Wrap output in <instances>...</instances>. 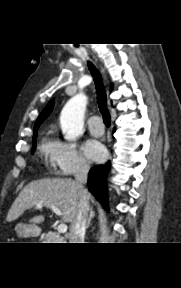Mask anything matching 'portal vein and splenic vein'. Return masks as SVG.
<instances>
[{"label":"portal vein and splenic vein","mask_w":181,"mask_h":288,"mask_svg":"<svg viewBox=\"0 0 181 288\" xmlns=\"http://www.w3.org/2000/svg\"><path fill=\"white\" fill-rule=\"evenodd\" d=\"M43 205L44 204L42 202H39V203L36 204V207L37 208H42ZM45 205L47 207H49L56 215H59V216L62 215L61 210L58 207H56L55 205H50V204H45ZM67 228H68L67 225L62 223V224L58 225L57 231H58V233H66Z\"/></svg>","instance_id":"18ae733b"}]
</instances>
